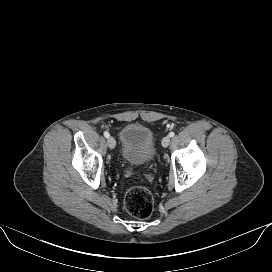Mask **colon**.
Instances as JSON below:
<instances>
[{"label": "colon", "mask_w": 272, "mask_h": 272, "mask_svg": "<svg viewBox=\"0 0 272 272\" xmlns=\"http://www.w3.org/2000/svg\"><path fill=\"white\" fill-rule=\"evenodd\" d=\"M124 204L127 212L139 219L148 218L153 211V197L148 189L142 186H130Z\"/></svg>", "instance_id": "colon-1"}]
</instances>
